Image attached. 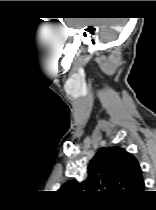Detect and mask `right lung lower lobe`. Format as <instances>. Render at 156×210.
<instances>
[{
	"label": "right lung lower lobe",
	"instance_id": "right-lung-lower-lobe-1",
	"mask_svg": "<svg viewBox=\"0 0 156 210\" xmlns=\"http://www.w3.org/2000/svg\"><path fill=\"white\" fill-rule=\"evenodd\" d=\"M141 194H142V193H141ZM141 194H140V195H141ZM140 195H138L137 197H135V198H134V199H132V200H135V199L139 198V196H140Z\"/></svg>",
	"mask_w": 156,
	"mask_h": 210
}]
</instances>
